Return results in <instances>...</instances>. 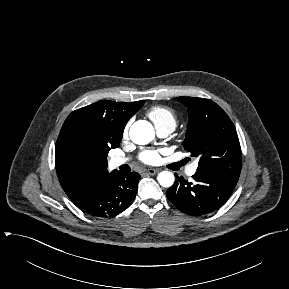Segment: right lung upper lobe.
Returning <instances> with one entry per match:
<instances>
[{
  "mask_svg": "<svg viewBox=\"0 0 289 289\" xmlns=\"http://www.w3.org/2000/svg\"><path fill=\"white\" fill-rule=\"evenodd\" d=\"M144 103V100L130 103L101 100L67 117L55 146V166L59 182L70 199L109 173L106 157L82 163L68 152L66 140L71 131L83 132L101 147L114 148L120 144L126 123Z\"/></svg>",
  "mask_w": 289,
  "mask_h": 289,
  "instance_id": "right-lung-upper-lobe-1",
  "label": "right lung upper lobe"
}]
</instances>
